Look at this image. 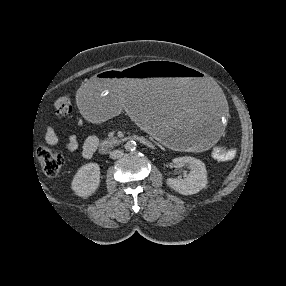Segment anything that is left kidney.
<instances>
[{
  "label": "left kidney",
  "instance_id": "left-kidney-1",
  "mask_svg": "<svg viewBox=\"0 0 286 286\" xmlns=\"http://www.w3.org/2000/svg\"><path fill=\"white\" fill-rule=\"evenodd\" d=\"M173 163L179 167L186 165L190 172L185 179L167 178L166 183L169 187L183 195L196 194L206 187L207 171L201 160L185 156L174 158Z\"/></svg>",
  "mask_w": 286,
  "mask_h": 286
}]
</instances>
